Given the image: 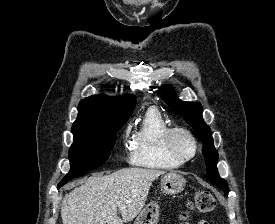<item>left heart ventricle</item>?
<instances>
[{"label": "left heart ventricle", "instance_id": "b2bd125f", "mask_svg": "<svg viewBox=\"0 0 275 224\" xmlns=\"http://www.w3.org/2000/svg\"><path fill=\"white\" fill-rule=\"evenodd\" d=\"M176 146L178 150L182 153L189 154L193 150L192 143L190 140L183 136V135H178L175 140Z\"/></svg>", "mask_w": 275, "mask_h": 224}]
</instances>
